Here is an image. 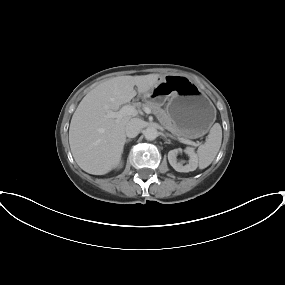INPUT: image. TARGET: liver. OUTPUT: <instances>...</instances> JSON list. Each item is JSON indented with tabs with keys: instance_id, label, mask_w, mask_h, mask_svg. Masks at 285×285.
<instances>
[{
	"instance_id": "obj_1",
	"label": "liver",
	"mask_w": 285,
	"mask_h": 285,
	"mask_svg": "<svg viewBox=\"0 0 285 285\" xmlns=\"http://www.w3.org/2000/svg\"><path fill=\"white\" fill-rule=\"evenodd\" d=\"M159 74L118 76L100 83L79 103L69 128V144L79 167L89 174L104 175L117 166L126 142L125 128L133 115L108 118L136 95L150 91ZM137 87V91L134 89Z\"/></svg>"
}]
</instances>
